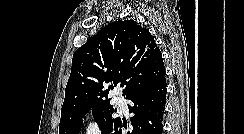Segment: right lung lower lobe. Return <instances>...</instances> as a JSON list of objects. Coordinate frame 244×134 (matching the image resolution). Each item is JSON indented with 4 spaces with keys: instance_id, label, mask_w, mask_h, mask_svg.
<instances>
[{
    "instance_id": "98d812e1",
    "label": "right lung lower lobe",
    "mask_w": 244,
    "mask_h": 134,
    "mask_svg": "<svg viewBox=\"0 0 244 134\" xmlns=\"http://www.w3.org/2000/svg\"><path fill=\"white\" fill-rule=\"evenodd\" d=\"M166 87L163 76L157 82L128 95L126 99L133 103L128 105L129 111L134 114L131 118L132 129L126 131L127 121L118 117L105 134H162Z\"/></svg>"
}]
</instances>
